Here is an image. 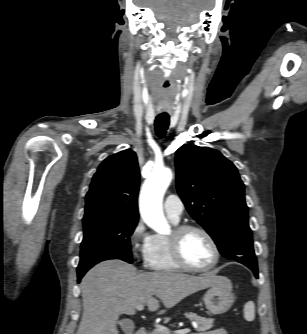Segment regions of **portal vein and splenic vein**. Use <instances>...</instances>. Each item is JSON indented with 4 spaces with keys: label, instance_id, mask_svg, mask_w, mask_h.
<instances>
[{
    "label": "portal vein and splenic vein",
    "instance_id": "18ae733b",
    "mask_svg": "<svg viewBox=\"0 0 307 334\" xmlns=\"http://www.w3.org/2000/svg\"><path fill=\"white\" fill-rule=\"evenodd\" d=\"M136 309L138 311H142L144 309V304H140L136 307ZM156 329L159 331L164 332L165 334H170V330L167 329L166 327H164L163 325H156ZM190 329L189 328H185V329H180V330H176L174 331L175 334H186L189 333Z\"/></svg>",
    "mask_w": 307,
    "mask_h": 334
}]
</instances>
